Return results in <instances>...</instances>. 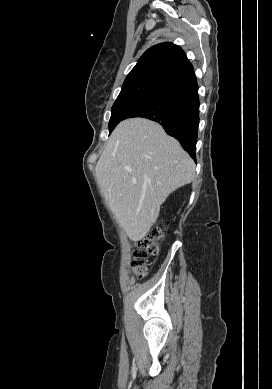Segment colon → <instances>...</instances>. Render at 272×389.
I'll list each match as a JSON object with an SVG mask.
<instances>
[{
	"mask_svg": "<svg viewBox=\"0 0 272 389\" xmlns=\"http://www.w3.org/2000/svg\"><path fill=\"white\" fill-rule=\"evenodd\" d=\"M164 239V232L161 226L152 227L147 235L136 242L134 249V260L132 262V270L142 276L145 273V259L149 255L157 253L158 244Z\"/></svg>",
	"mask_w": 272,
	"mask_h": 389,
	"instance_id": "1",
	"label": "colon"
}]
</instances>
